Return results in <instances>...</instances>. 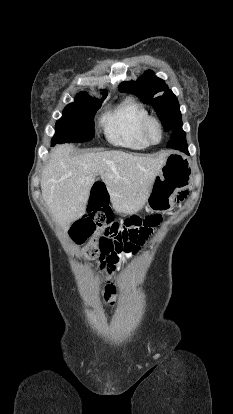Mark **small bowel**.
Listing matches in <instances>:
<instances>
[{"instance_id":"obj_1","label":"small bowel","mask_w":233,"mask_h":414,"mask_svg":"<svg viewBox=\"0 0 233 414\" xmlns=\"http://www.w3.org/2000/svg\"><path fill=\"white\" fill-rule=\"evenodd\" d=\"M151 229L147 228L146 229V234H150ZM131 255V252H121V251H114V250H108V251H103L101 252V256L98 257V269H99V273L101 271H104L105 273H113L114 270L118 269L120 270V267H123L125 264L123 262H120V260H124L129 258ZM105 258H107L106 262H105ZM127 266L129 265L128 263L126 264ZM101 267V268H100ZM101 269V271H100ZM105 289H108V293L109 294H114L116 293V289H117V283H110L108 284L107 282L105 283Z\"/></svg>"}]
</instances>
